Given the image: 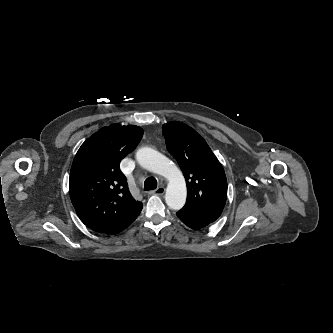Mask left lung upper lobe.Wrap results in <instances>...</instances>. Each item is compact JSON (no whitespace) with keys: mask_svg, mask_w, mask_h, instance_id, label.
Returning a JSON list of instances; mask_svg holds the SVG:
<instances>
[{"mask_svg":"<svg viewBox=\"0 0 333 333\" xmlns=\"http://www.w3.org/2000/svg\"><path fill=\"white\" fill-rule=\"evenodd\" d=\"M166 148L177 160L187 184L185 208L220 216L227 198L224 169L205 140L181 122L163 125Z\"/></svg>","mask_w":333,"mask_h":333,"instance_id":"obj_1","label":"left lung upper lobe"}]
</instances>
